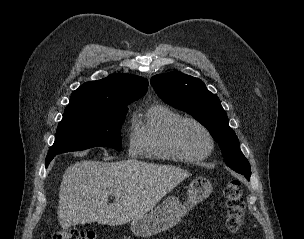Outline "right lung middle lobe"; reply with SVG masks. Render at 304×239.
Listing matches in <instances>:
<instances>
[{"label": "right lung middle lobe", "instance_id": "1", "mask_svg": "<svg viewBox=\"0 0 304 239\" xmlns=\"http://www.w3.org/2000/svg\"><path fill=\"white\" fill-rule=\"evenodd\" d=\"M127 107L112 110L75 111L64 113L55 142L48 155L80 151L97 146L121 150L120 128Z\"/></svg>", "mask_w": 304, "mask_h": 239}]
</instances>
